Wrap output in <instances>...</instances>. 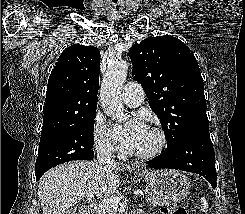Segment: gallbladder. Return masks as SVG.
<instances>
[{
	"mask_svg": "<svg viewBox=\"0 0 245 214\" xmlns=\"http://www.w3.org/2000/svg\"><path fill=\"white\" fill-rule=\"evenodd\" d=\"M77 207H72L66 211L65 214H75Z\"/></svg>",
	"mask_w": 245,
	"mask_h": 214,
	"instance_id": "bac80fb5",
	"label": "gallbladder"
}]
</instances>
